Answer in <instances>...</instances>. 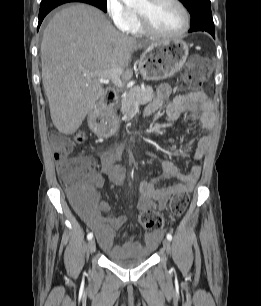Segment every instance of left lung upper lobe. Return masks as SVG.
<instances>
[{"label": "left lung upper lobe", "mask_w": 261, "mask_h": 306, "mask_svg": "<svg viewBox=\"0 0 261 306\" xmlns=\"http://www.w3.org/2000/svg\"><path fill=\"white\" fill-rule=\"evenodd\" d=\"M191 15V28L214 29L210 0H179Z\"/></svg>", "instance_id": "obj_1"}]
</instances>
